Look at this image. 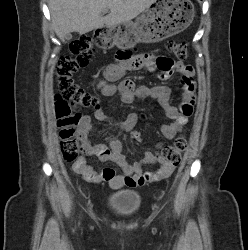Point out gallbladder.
I'll use <instances>...</instances> for the list:
<instances>
[{
	"mask_svg": "<svg viewBox=\"0 0 248 250\" xmlns=\"http://www.w3.org/2000/svg\"><path fill=\"white\" fill-rule=\"evenodd\" d=\"M71 38H72L71 33H69V34H67V35L65 36V39H66V40H70Z\"/></svg>",
	"mask_w": 248,
	"mask_h": 250,
	"instance_id": "obj_1",
	"label": "gallbladder"
}]
</instances>
